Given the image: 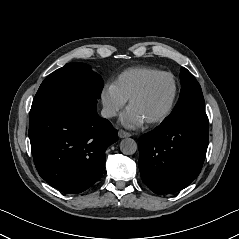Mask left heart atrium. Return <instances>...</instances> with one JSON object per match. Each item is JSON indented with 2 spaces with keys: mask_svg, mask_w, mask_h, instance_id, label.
Returning a JSON list of instances; mask_svg holds the SVG:
<instances>
[{
  "mask_svg": "<svg viewBox=\"0 0 239 239\" xmlns=\"http://www.w3.org/2000/svg\"><path fill=\"white\" fill-rule=\"evenodd\" d=\"M121 123L127 128H137L141 126L145 120L137 114L131 107H128L121 115Z\"/></svg>",
  "mask_w": 239,
  "mask_h": 239,
  "instance_id": "obj_1",
  "label": "left heart atrium"
}]
</instances>
